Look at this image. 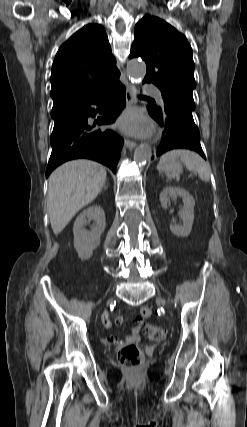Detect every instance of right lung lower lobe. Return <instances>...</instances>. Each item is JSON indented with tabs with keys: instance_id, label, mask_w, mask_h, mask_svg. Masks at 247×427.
Wrapping results in <instances>:
<instances>
[{
	"instance_id": "right-lung-lower-lobe-1",
	"label": "right lung lower lobe",
	"mask_w": 247,
	"mask_h": 427,
	"mask_svg": "<svg viewBox=\"0 0 247 427\" xmlns=\"http://www.w3.org/2000/svg\"><path fill=\"white\" fill-rule=\"evenodd\" d=\"M125 104V87L117 81L93 98L54 106L51 111L54 119L50 138L52 153L46 177L60 164L78 158L98 161L115 172L123 139L111 130L97 127L115 122ZM97 113L102 116L91 122L89 117Z\"/></svg>"
}]
</instances>
